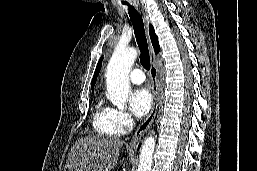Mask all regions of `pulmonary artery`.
<instances>
[{
	"label": "pulmonary artery",
	"mask_w": 257,
	"mask_h": 171,
	"mask_svg": "<svg viewBox=\"0 0 257 171\" xmlns=\"http://www.w3.org/2000/svg\"><path fill=\"white\" fill-rule=\"evenodd\" d=\"M129 78L134 84H142L145 81V74L141 69L135 68L131 71Z\"/></svg>",
	"instance_id": "pulmonary-artery-1"
}]
</instances>
